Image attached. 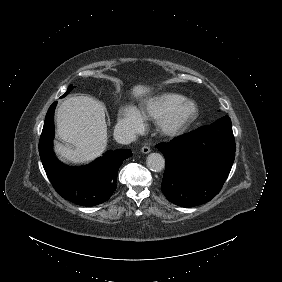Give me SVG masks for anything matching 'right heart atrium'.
Segmentation results:
<instances>
[{
    "label": "right heart atrium",
    "instance_id": "d8ad5b80",
    "mask_svg": "<svg viewBox=\"0 0 282 282\" xmlns=\"http://www.w3.org/2000/svg\"><path fill=\"white\" fill-rule=\"evenodd\" d=\"M117 127L119 130L134 136L144 128L143 117L138 110L128 108L118 121Z\"/></svg>",
    "mask_w": 282,
    "mask_h": 282
}]
</instances>
